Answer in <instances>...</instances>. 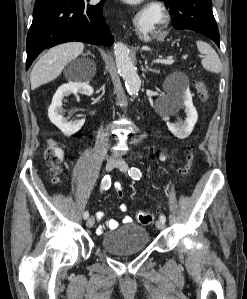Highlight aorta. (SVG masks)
Wrapping results in <instances>:
<instances>
[{
    "label": "aorta",
    "instance_id": "aorta-1",
    "mask_svg": "<svg viewBox=\"0 0 247 299\" xmlns=\"http://www.w3.org/2000/svg\"><path fill=\"white\" fill-rule=\"evenodd\" d=\"M114 55L118 72L125 82L128 93L137 96L141 88V80L129 55V49L122 43H116Z\"/></svg>",
    "mask_w": 247,
    "mask_h": 299
}]
</instances>
